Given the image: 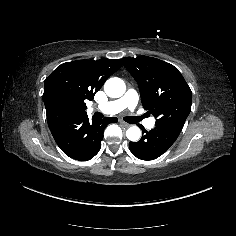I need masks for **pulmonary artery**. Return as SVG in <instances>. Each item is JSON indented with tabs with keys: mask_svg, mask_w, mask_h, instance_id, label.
Returning a JSON list of instances; mask_svg holds the SVG:
<instances>
[{
	"mask_svg": "<svg viewBox=\"0 0 236 236\" xmlns=\"http://www.w3.org/2000/svg\"><path fill=\"white\" fill-rule=\"evenodd\" d=\"M138 100V95L132 90H128L122 97L113 101H108L98 106L97 109L107 116H113L126 108L129 110H134ZM135 117L136 120L141 122L143 126H150L152 124V119L150 117H146V115L139 110L135 112Z\"/></svg>",
	"mask_w": 236,
	"mask_h": 236,
	"instance_id": "e3ab8cb5",
	"label": "pulmonary artery"
}]
</instances>
